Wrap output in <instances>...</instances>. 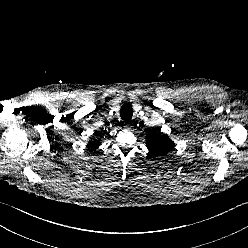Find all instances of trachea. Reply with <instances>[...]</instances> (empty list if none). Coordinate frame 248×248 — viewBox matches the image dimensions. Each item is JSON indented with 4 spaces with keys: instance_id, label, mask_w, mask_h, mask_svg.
Returning <instances> with one entry per match:
<instances>
[{
    "instance_id": "1",
    "label": "trachea",
    "mask_w": 248,
    "mask_h": 248,
    "mask_svg": "<svg viewBox=\"0 0 248 248\" xmlns=\"http://www.w3.org/2000/svg\"><path fill=\"white\" fill-rule=\"evenodd\" d=\"M120 115L122 120L128 122L131 120L133 115V108L129 103H125L122 105L120 109Z\"/></svg>"
}]
</instances>
